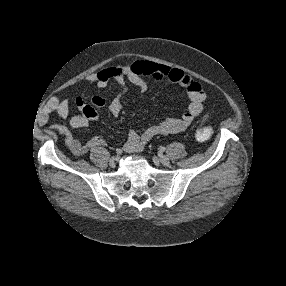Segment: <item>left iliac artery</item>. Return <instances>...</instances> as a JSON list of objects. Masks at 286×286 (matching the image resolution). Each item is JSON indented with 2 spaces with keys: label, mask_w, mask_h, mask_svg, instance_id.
<instances>
[{
  "label": "left iliac artery",
  "mask_w": 286,
  "mask_h": 286,
  "mask_svg": "<svg viewBox=\"0 0 286 286\" xmlns=\"http://www.w3.org/2000/svg\"><path fill=\"white\" fill-rule=\"evenodd\" d=\"M159 150H160L161 152H164V151H165V147H162V146H161V147L159 148Z\"/></svg>",
  "instance_id": "44dca946"
}]
</instances>
